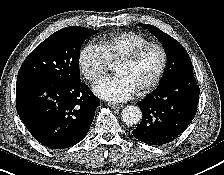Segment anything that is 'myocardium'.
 Here are the masks:
<instances>
[{
    "instance_id": "f54148a6",
    "label": "myocardium",
    "mask_w": 224,
    "mask_h": 175,
    "mask_svg": "<svg viewBox=\"0 0 224 175\" xmlns=\"http://www.w3.org/2000/svg\"><path fill=\"white\" fill-rule=\"evenodd\" d=\"M149 49L158 50L161 57L160 65L154 77L147 84L137 89L139 93H145L152 90L162 79L168 63V55L166 49L159 43L148 42L117 61V63L132 65Z\"/></svg>"
}]
</instances>
